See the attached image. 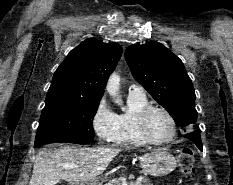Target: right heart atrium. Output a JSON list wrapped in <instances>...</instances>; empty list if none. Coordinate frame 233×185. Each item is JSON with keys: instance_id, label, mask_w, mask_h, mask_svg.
Instances as JSON below:
<instances>
[{"instance_id": "1", "label": "right heart atrium", "mask_w": 233, "mask_h": 185, "mask_svg": "<svg viewBox=\"0 0 233 185\" xmlns=\"http://www.w3.org/2000/svg\"><path fill=\"white\" fill-rule=\"evenodd\" d=\"M92 129L98 140L103 143L116 141L118 133L117 114L111 109L105 98L97 103L91 117Z\"/></svg>"}]
</instances>
